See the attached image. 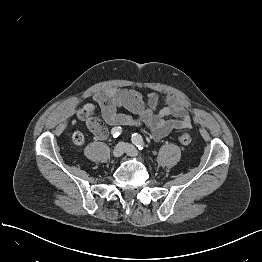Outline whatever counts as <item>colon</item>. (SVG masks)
<instances>
[{
	"label": "colon",
	"mask_w": 262,
	"mask_h": 262,
	"mask_svg": "<svg viewBox=\"0 0 262 262\" xmlns=\"http://www.w3.org/2000/svg\"><path fill=\"white\" fill-rule=\"evenodd\" d=\"M191 133L188 127H183L178 132V140L183 145H189L191 143ZM84 135L81 131L77 130L72 135V142L76 147H81L84 144Z\"/></svg>",
	"instance_id": "1"
}]
</instances>
